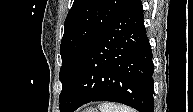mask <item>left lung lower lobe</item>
<instances>
[{"instance_id": "left-lung-lower-lobe-1", "label": "left lung lower lobe", "mask_w": 193, "mask_h": 112, "mask_svg": "<svg viewBox=\"0 0 193 112\" xmlns=\"http://www.w3.org/2000/svg\"><path fill=\"white\" fill-rule=\"evenodd\" d=\"M153 72L141 0H132L89 51L60 111L74 112L91 101H112L153 112Z\"/></svg>"}]
</instances>
